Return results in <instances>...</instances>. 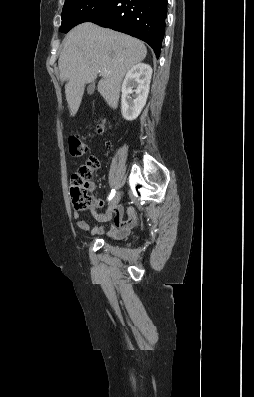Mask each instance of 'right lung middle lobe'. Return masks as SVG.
<instances>
[{"label":"right lung middle lobe","mask_w":254,"mask_h":397,"mask_svg":"<svg viewBox=\"0 0 254 397\" xmlns=\"http://www.w3.org/2000/svg\"><path fill=\"white\" fill-rule=\"evenodd\" d=\"M112 0H65L60 31L67 33L74 26L102 13Z\"/></svg>","instance_id":"right-lung-middle-lobe-1"}]
</instances>
